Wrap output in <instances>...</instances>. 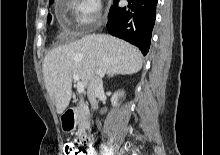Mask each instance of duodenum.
Wrapping results in <instances>:
<instances>
[{"instance_id":"410a0bca","label":"duodenum","mask_w":220,"mask_h":155,"mask_svg":"<svg viewBox=\"0 0 220 155\" xmlns=\"http://www.w3.org/2000/svg\"><path fill=\"white\" fill-rule=\"evenodd\" d=\"M79 112V108H71V109H68L64 114H63V122L66 124V125H74L75 123V119H76V116ZM85 146V150H87L88 152V155H92L91 154V150H90V145H91V139L89 136L87 135H84L82 137V140H81Z\"/></svg>"}]
</instances>
